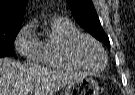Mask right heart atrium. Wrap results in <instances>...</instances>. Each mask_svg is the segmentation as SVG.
Returning a JSON list of instances; mask_svg holds the SVG:
<instances>
[{"label":"right heart atrium","mask_w":135,"mask_h":95,"mask_svg":"<svg viewBox=\"0 0 135 95\" xmlns=\"http://www.w3.org/2000/svg\"><path fill=\"white\" fill-rule=\"evenodd\" d=\"M14 45L18 53L31 62H41V41L36 37L32 24H26L17 33Z\"/></svg>","instance_id":"right-heart-atrium-1"}]
</instances>
